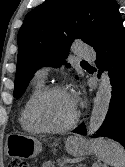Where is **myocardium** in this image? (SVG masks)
<instances>
[{
    "instance_id": "myocardium-1",
    "label": "myocardium",
    "mask_w": 125,
    "mask_h": 167,
    "mask_svg": "<svg viewBox=\"0 0 125 167\" xmlns=\"http://www.w3.org/2000/svg\"><path fill=\"white\" fill-rule=\"evenodd\" d=\"M67 88L63 85H51L48 86L46 88H44L39 95L35 98L31 109H30V118L32 123L34 124V126L43 133H62V132H66L70 129H72L76 123L78 122L79 119V110L77 109V107L75 106V114L73 116V118L64 126L61 127H57V128H51V127H47L45 126L39 119L38 117V112L40 109L41 104L43 103V101L49 97L51 94L56 93V92H67Z\"/></svg>"
}]
</instances>
